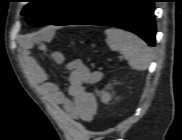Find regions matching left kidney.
<instances>
[{
  "instance_id": "1",
  "label": "left kidney",
  "mask_w": 182,
  "mask_h": 140,
  "mask_svg": "<svg viewBox=\"0 0 182 140\" xmlns=\"http://www.w3.org/2000/svg\"><path fill=\"white\" fill-rule=\"evenodd\" d=\"M100 97L103 103H108L112 99V95L108 91H103Z\"/></svg>"
}]
</instances>
